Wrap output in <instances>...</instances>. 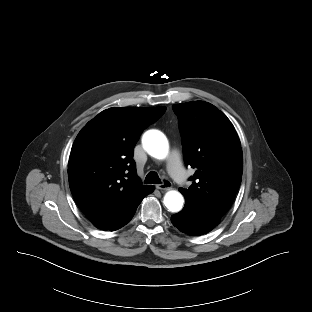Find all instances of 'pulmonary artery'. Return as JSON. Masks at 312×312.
I'll return each mask as SVG.
<instances>
[{
    "mask_svg": "<svg viewBox=\"0 0 312 312\" xmlns=\"http://www.w3.org/2000/svg\"><path fill=\"white\" fill-rule=\"evenodd\" d=\"M167 167L172 178L180 185L185 186L187 183V174L183 168L180 155L174 151L171 153Z\"/></svg>",
    "mask_w": 312,
    "mask_h": 312,
    "instance_id": "1",
    "label": "pulmonary artery"
}]
</instances>
